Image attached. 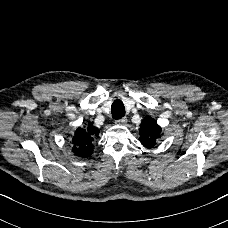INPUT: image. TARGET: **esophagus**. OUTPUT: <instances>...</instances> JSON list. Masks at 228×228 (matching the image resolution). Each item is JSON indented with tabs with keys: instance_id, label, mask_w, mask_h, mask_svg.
I'll use <instances>...</instances> for the list:
<instances>
[{
	"instance_id": "obj_1",
	"label": "esophagus",
	"mask_w": 228,
	"mask_h": 228,
	"mask_svg": "<svg viewBox=\"0 0 228 228\" xmlns=\"http://www.w3.org/2000/svg\"><path fill=\"white\" fill-rule=\"evenodd\" d=\"M115 123L118 125H125L127 123V118L122 117L121 119L116 120Z\"/></svg>"
}]
</instances>
